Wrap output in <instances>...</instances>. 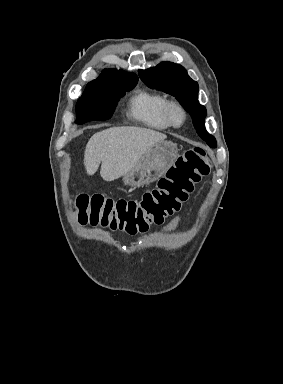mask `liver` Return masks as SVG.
Instances as JSON below:
<instances>
[{"instance_id":"liver-1","label":"liver","mask_w":283,"mask_h":384,"mask_svg":"<svg viewBox=\"0 0 283 384\" xmlns=\"http://www.w3.org/2000/svg\"><path fill=\"white\" fill-rule=\"evenodd\" d=\"M167 136L135 126L108 128L90 138L85 154L84 166L88 176L97 172L100 162V176L105 182L118 180L135 168L149 148L157 142H164Z\"/></svg>"}]
</instances>
